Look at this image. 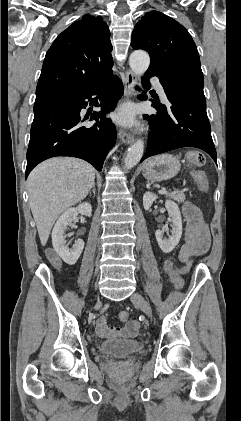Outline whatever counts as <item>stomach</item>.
Returning a JSON list of instances; mask_svg holds the SVG:
<instances>
[{
    "label": "stomach",
    "instance_id": "obj_1",
    "mask_svg": "<svg viewBox=\"0 0 241 421\" xmlns=\"http://www.w3.org/2000/svg\"><path fill=\"white\" fill-rule=\"evenodd\" d=\"M181 164L176 156L162 154L148 159L142 166V174L149 181H164L173 178L180 171Z\"/></svg>",
    "mask_w": 241,
    "mask_h": 421
}]
</instances>
